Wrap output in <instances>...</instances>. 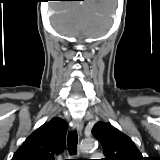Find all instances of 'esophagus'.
<instances>
[{"instance_id":"34e87169","label":"esophagus","mask_w":160,"mask_h":160,"mask_svg":"<svg viewBox=\"0 0 160 160\" xmlns=\"http://www.w3.org/2000/svg\"><path fill=\"white\" fill-rule=\"evenodd\" d=\"M73 129L78 132V134L81 135L82 129H83V123L80 120H74L73 121Z\"/></svg>"}]
</instances>
